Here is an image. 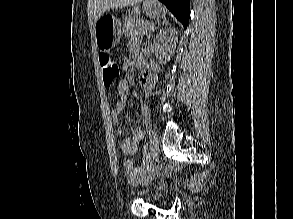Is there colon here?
Wrapping results in <instances>:
<instances>
[{
    "mask_svg": "<svg viewBox=\"0 0 293 219\" xmlns=\"http://www.w3.org/2000/svg\"><path fill=\"white\" fill-rule=\"evenodd\" d=\"M99 61L102 69L104 84L108 86L112 85L119 75V66L116 59L108 53H101L99 55ZM125 168L129 173V177L133 178L136 173L134 162L132 160H127L125 162Z\"/></svg>",
    "mask_w": 293,
    "mask_h": 219,
    "instance_id": "colon-1",
    "label": "colon"
}]
</instances>
